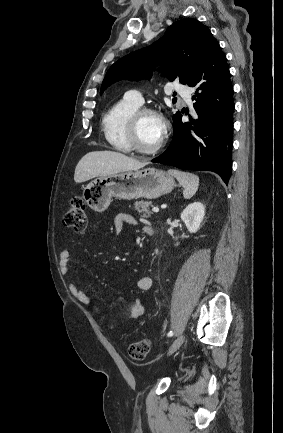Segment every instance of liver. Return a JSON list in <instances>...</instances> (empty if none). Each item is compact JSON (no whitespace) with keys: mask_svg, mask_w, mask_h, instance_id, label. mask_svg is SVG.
Wrapping results in <instances>:
<instances>
[{"mask_svg":"<svg viewBox=\"0 0 283 433\" xmlns=\"http://www.w3.org/2000/svg\"><path fill=\"white\" fill-rule=\"evenodd\" d=\"M148 162H140L137 158L126 156L113 150H93L80 158L74 172L75 182H85L95 176L115 174L125 170H138Z\"/></svg>","mask_w":283,"mask_h":433,"instance_id":"1","label":"liver"}]
</instances>
